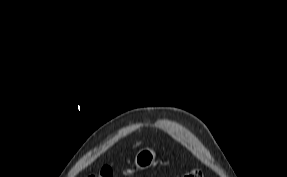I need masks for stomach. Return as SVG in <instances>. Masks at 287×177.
<instances>
[{
    "label": "stomach",
    "instance_id": "obj_1",
    "mask_svg": "<svg viewBox=\"0 0 287 177\" xmlns=\"http://www.w3.org/2000/svg\"><path fill=\"white\" fill-rule=\"evenodd\" d=\"M156 159V153L151 148L140 149L134 159V164L138 170H145L150 168Z\"/></svg>",
    "mask_w": 287,
    "mask_h": 177
}]
</instances>
